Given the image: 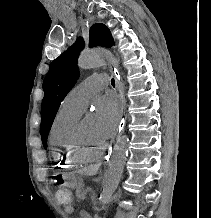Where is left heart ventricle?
<instances>
[{"label":"left heart ventricle","mask_w":211,"mask_h":218,"mask_svg":"<svg viewBox=\"0 0 211 218\" xmlns=\"http://www.w3.org/2000/svg\"><path fill=\"white\" fill-rule=\"evenodd\" d=\"M82 134L85 140L92 145L99 146L105 142V139L98 134L93 119L82 122Z\"/></svg>","instance_id":"b2bd125f"}]
</instances>
